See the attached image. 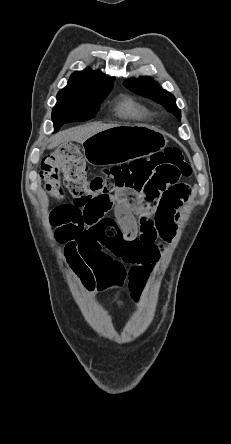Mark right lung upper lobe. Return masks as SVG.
Returning a JSON list of instances; mask_svg holds the SVG:
<instances>
[{
  "instance_id": "right-lung-upper-lobe-1",
  "label": "right lung upper lobe",
  "mask_w": 231,
  "mask_h": 444,
  "mask_svg": "<svg viewBox=\"0 0 231 444\" xmlns=\"http://www.w3.org/2000/svg\"><path fill=\"white\" fill-rule=\"evenodd\" d=\"M114 78L107 77L99 71L90 68L76 71L69 79L68 85L61 91L92 93L107 90L113 87Z\"/></svg>"
}]
</instances>
